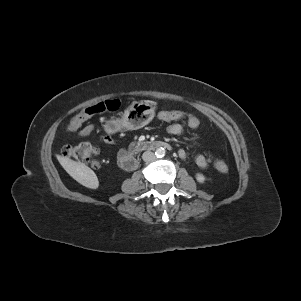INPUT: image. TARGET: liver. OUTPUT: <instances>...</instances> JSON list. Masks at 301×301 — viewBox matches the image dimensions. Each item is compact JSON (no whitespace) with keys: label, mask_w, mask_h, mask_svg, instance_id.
I'll return each instance as SVG.
<instances>
[{"label":"liver","mask_w":301,"mask_h":301,"mask_svg":"<svg viewBox=\"0 0 301 301\" xmlns=\"http://www.w3.org/2000/svg\"><path fill=\"white\" fill-rule=\"evenodd\" d=\"M57 159L65 171L77 182L90 189L98 188V178L88 166L60 155H57Z\"/></svg>","instance_id":"6515ba94"}]
</instances>
